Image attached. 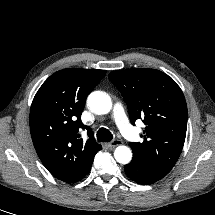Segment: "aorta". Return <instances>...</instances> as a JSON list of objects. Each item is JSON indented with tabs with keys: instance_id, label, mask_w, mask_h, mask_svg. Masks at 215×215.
I'll list each match as a JSON object with an SVG mask.
<instances>
[{
	"instance_id": "762f6f07",
	"label": "aorta",
	"mask_w": 215,
	"mask_h": 215,
	"mask_svg": "<svg viewBox=\"0 0 215 215\" xmlns=\"http://www.w3.org/2000/svg\"><path fill=\"white\" fill-rule=\"evenodd\" d=\"M88 106L96 114H107L111 108L112 103L110 97L101 91L92 92L88 96ZM114 157L117 162L127 164L131 161V150L126 146H118L114 151Z\"/></svg>"
}]
</instances>
